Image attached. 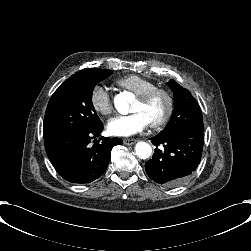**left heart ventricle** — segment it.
Masks as SVG:
<instances>
[{
    "label": "left heart ventricle",
    "mask_w": 251,
    "mask_h": 251,
    "mask_svg": "<svg viewBox=\"0 0 251 251\" xmlns=\"http://www.w3.org/2000/svg\"><path fill=\"white\" fill-rule=\"evenodd\" d=\"M133 109L143 110L152 121L164 115L167 109V99L163 94H157L149 103L137 99Z\"/></svg>",
    "instance_id": "obj_1"
}]
</instances>
